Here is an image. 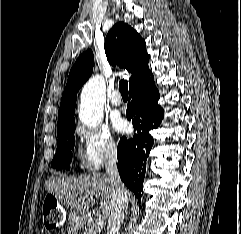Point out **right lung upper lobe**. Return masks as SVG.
<instances>
[{"mask_svg":"<svg viewBox=\"0 0 241 234\" xmlns=\"http://www.w3.org/2000/svg\"><path fill=\"white\" fill-rule=\"evenodd\" d=\"M105 53L110 64L119 65L132 73L129 88L150 73L145 40L129 25L119 22L108 32ZM94 57L91 50L79 56L70 70L67 85L58 111L57 131L75 125L74 112L79 88L93 72Z\"/></svg>","mask_w":241,"mask_h":234,"instance_id":"obj_1","label":"right lung upper lobe"}]
</instances>
